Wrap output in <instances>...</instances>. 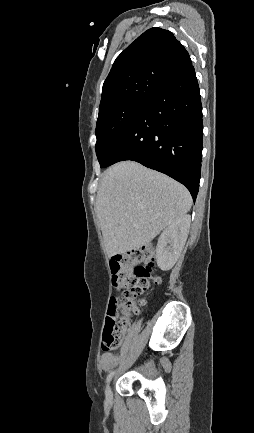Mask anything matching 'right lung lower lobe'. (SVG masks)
Returning a JSON list of instances; mask_svg holds the SVG:
<instances>
[{"instance_id":"right-lung-lower-lobe-1","label":"right lung lower lobe","mask_w":254,"mask_h":433,"mask_svg":"<svg viewBox=\"0 0 254 433\" xmlns=\"http://www.w3.org/2000/svg\"><path fill=\"white\" fill-rule=\"evenodd\" d=\"M202 105L192 64L149 99L113 149L106 167L133 160L185 185L195 201L201 175Z\"/></svg>"}]
</instances>
